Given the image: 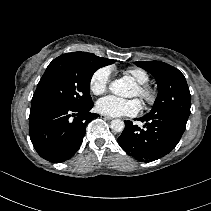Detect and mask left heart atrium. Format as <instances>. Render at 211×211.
Segmentation results:
<instances>
[{
    "instance_id": "39dd6f15",
    "label": "left heart atrium",
    "mask_w": 211,
    "mask_h": 211,
    "mask_svg": "<svg viewBox=\"0 0 211 211\" xmlns=\"http://www.w3.org/2000/svg\"><path fill=\"white\" fill-rule=\"evenodd\" d=\"M96 109L102 114L114 117L133 116L140 111L141 104L138 99H124L110 95L99 99Z\"/></svg>"
}]
</instances>
